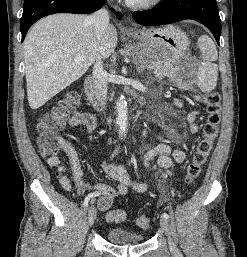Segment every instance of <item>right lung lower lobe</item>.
<instances>
[{"mask_svg": "<svg viewBox=\"0 0 247 257\" xmlns=\"http://www.w3.org/2000/svg\"><path fill=\"white\" fill-rule=\"evenodd\" d=\"M104 0H25L21 18L22 41L28 29L40 18L55 13L87 14L97 11ZM121 19V13H117Z\"/></svg>", "mask_w": 247, "mask_h": 257, "instance_id": "98d812e1", "label": "right lung lower lobe"}]
</instances>
